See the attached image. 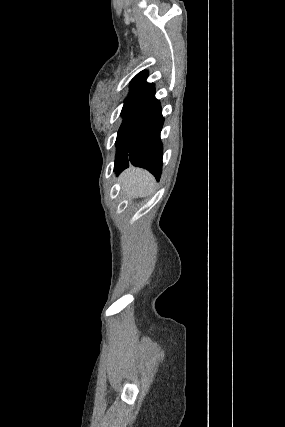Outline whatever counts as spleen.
Instances as JSON below:
<instances>
[{"mask_svg": "<svg viewBox=\"0 0 285 427\" xmlns=\"http://www.w3.org/2000/svg\"><path fill=\"white\" fill-rule=\"evenodd\" d=\"M123 187L135 197H145L155 186L154 177L147 171L137 168L128 170L123 176Z\"/></svg>", "mask_w": 285, "mask_h": 427, "instance_id": "spleen-1", "label": "spleen"}]
</instances>
